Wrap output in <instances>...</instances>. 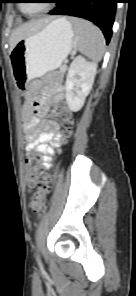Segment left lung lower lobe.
Here are the masks:
<instances>
[{
	"label": "left lung lower lobe",
	"mask_w": 136,
	"mask_h": 296,
	"mask_svg": "<svg viewBox=\"0 0 136 296\" xmlns=\"http://www.w3.org/2000/svg\"><path fill=\"white\" fill-rule=\"evenodd\" d=\"M118 2L119 0H58L57 7L49 14L81 17L95 23L102 30L108 44Z\"/></svg>",
	"instance_id": "1"
}]
</instances>
